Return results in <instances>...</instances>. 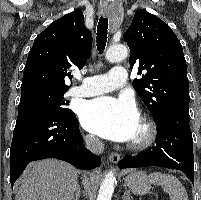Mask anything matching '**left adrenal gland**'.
<instances>
[{
  "label": "left adrenal gland",
  "instance_id": "1",
  "mask_svg": "<svg viewBox=\"0 0 201 200\" xmlns=\"http://www.w3.org/2000/svg\"><path fill=\"white\" fill-rule=\"evenodd\" d=\"M122 200H133L132 197L130 196V191L126 190Z\"/></svg>",
  "mask_w": 201,
  "mask_h": 200
}]
</instances>
